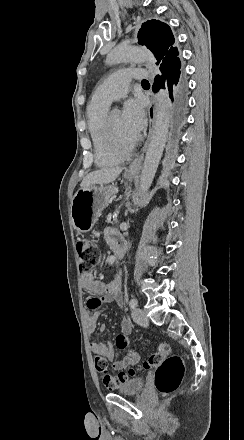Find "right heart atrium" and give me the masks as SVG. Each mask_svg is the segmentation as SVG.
<instances>
[{
  "instance_id": "d8ad5b80",
  "label": "right heart atrium",
  "mask_w": 244,
  "mask_h": 440,
  "mask_svg": "<svg viewBox=\"0 0 244 440\" xmlns=\"http://www.w3.org/2000/svg\"><path fill=\"white\" fill-rule=\"evenodd\" d=\"M129 139H135V135H131L130 137H129Z\"/></svg>"
}]
</instances>
